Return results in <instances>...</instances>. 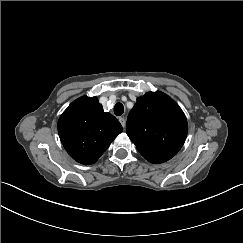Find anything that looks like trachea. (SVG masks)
I'll list each match as a JSON object with an SVG mask.
<instances>
[{
	"mask_svg": "<svg viewBox=\"0 0 243 243\" xmlns=\"http://www.w3.org/2000/svg\"><path fill=\"white\" fill-rule=\"evenodd\" d=\"M124 112V106L122 103H116L114 106V114L116 116H121Z\"/></svg>",
	"mask_w": 243,
	"mask_h": 243,
	"instance_id": "trachea-1",
	"label": "trachea"
}]
</instances>
